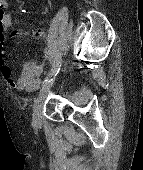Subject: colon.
Instances as JSON below:
<instances>
[{
    "mask_svg": "<svg viewBox=\"0 0 143 170\" xmlns=\"http://www.w3.org/2000/svg\"><path fill=\"white\" fill-rule=\"evenodd\" d=\"M7 8L6 0H0V16L5 14Z\"/></svg>",
    "mask_w": 143,
    "mask_h": 170,
    "instance_id": "obj_1",
    "label": "colon"
}]
</instances>
